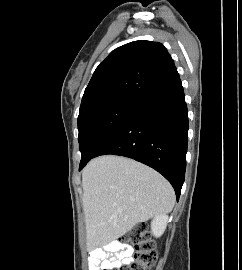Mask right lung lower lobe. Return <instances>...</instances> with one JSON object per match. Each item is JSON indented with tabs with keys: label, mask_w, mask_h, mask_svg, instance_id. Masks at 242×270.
Listing matches in <instances>:
<instances>
[{
	"label": "right lung lower lobe",
	"mask_w": 242,
	"mask_h": 270,
	"mask_svg": "<svg viewBox=\"0 0 242 270\" xmlns=\"http://www.w3.org/2000/svg\"><path fill=\"white\" fill-rule=\"evenodd\" d=\"M188 110L180 78L137 102L92 158L115 154L133 158L161 173L177 200L186 169ZM89 160L80 163L81 170Z\"/></svg>",
	"instance_id": "98d812e1"
}]
</instances>
